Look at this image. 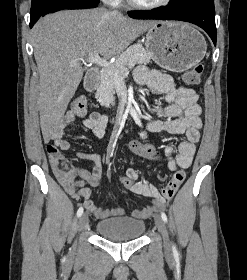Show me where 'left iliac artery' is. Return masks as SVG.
Masks as SVG:
<instances>
[{"mask_svg": "<svg viewBox=\"0 0 247 280\" xmlns=\"http://www.w3.org/2000/svg\"><path fill=\"white\" fill-rule=\"evenodd\" d=\"M161 217L165 223H167V216L164 212H161ZM173 250L176 252V247L173 245Z\"/></svg>", "mask_w": 247, "mask_h": 280, "instance_id": "left-iliac-artery-1", "label": "left iliac artery"}]
</instances>
